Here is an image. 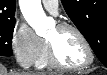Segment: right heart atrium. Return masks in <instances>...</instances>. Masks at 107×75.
Masks as SVG:
<instances>
[{
  "mask_svg": "<svg viewBox=\"0 0 107 75\" xmlns=\"http://www.w3.org/2000/svg\"><path fill=\"white\" fill-rule=\"evenodd\" d=\"M11 46L14 55L23 67H31L38 61L44 41L24 21H17L14 25Z\"/></svg>",
  "mask_w": 107,
  "mask_h": 75,
  "instance_id": "obj_1",
  "label": "right heart atrium"
}]
</instances>
